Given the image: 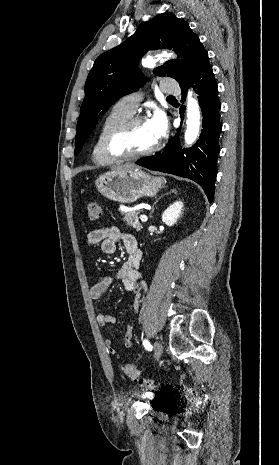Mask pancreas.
Instances as JSON below:
<instances>
[{"label":"pancreas","instance_id":"cf45deb5","mask_svg":"<svg viewBox=\"0 0 279 465\" xmlns=\"http://www.w3.org/2000/svg\"><path fill=\"white\" fill-rule=\"evenodd\" d=\"M122 216H123V220L126 221V224L128 226H132L134 229H136L137 231H141V229L143 228L142 224L139 222V218H138V215H139V211H134V212H125V211H122L121 212Z\"/></svg>","mask_w":279,"mask_h":465}]
</instances>
